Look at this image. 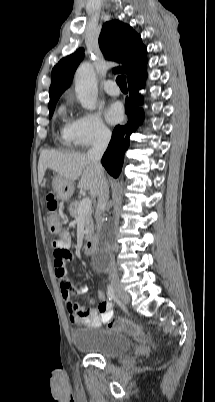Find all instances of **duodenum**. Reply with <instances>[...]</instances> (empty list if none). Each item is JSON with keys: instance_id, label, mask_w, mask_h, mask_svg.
<instances>
[{"instance_id": "410a0bca", "label": "duodenum", "mask_w": 215, "mask_h": 402, "mask_svg": "<svg viewBox=\"0 0 215 402\" xmlns=\"http://www.w3.org/2000/svg\"><path fill=\"white\" fill-rule=\"evenodd\" d=\"M97 250V241L95 239L88 240L84 245V252L86 255L90 256L95 254Z\"/></svg>"}]
</instances>
